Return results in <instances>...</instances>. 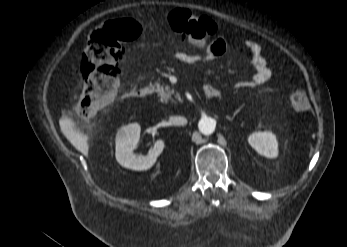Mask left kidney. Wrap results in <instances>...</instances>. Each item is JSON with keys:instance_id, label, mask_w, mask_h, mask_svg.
<instances>
[{"instance_id": "left-kidney-1", "label": "left kidney", "mask_w": 347, "mask_h": 247, "mask_svg": "<svg viewBox=\"0 0 347 247\" xmlns=\"http://www.w3.org/2000/svg\"><path fill=\"white\" fill-rule=\"evenodd\" d=\"M250 146L260 155L267 158L278 156V142L276 136L270 132H254L248 137Z\"/></svg>"}]
</instances>
